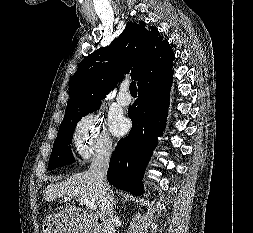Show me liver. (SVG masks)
I'll list each match as a JSON object with an SVG mask.
<instances>
[{"mask_svg":"<svg viewBox=\"0 0 253 233\" xmlns=\"http://www.w3.org/2000/svg\"><path fill=\"white\" fill-rule=\"evenodd\" d=\"M63 197H70L73 200L83 197L95 203L99 208L101 206V197L97 181L89 171L74 174L59 183H52L43 191V198L46 201H54ZM65 202L66 206L64 209L60 207L62 212L72 209L68 201Z\"/></svg>","mask_w":253,"mask_h":233,"instance_id":"obj_1","label":"liver"}]
</instances>
